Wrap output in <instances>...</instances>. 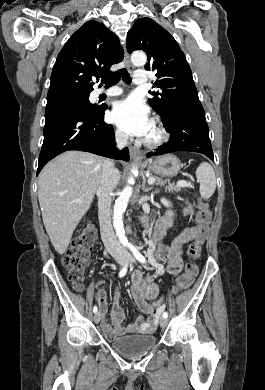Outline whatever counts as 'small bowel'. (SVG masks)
Here are the masks:
<instances>
[{
  "mask_svg": "<svg viewBox=\"0 0 265 390\" xmlns=\"http://www.w3.org/2000/svg\"><path fill=\"white\" fill-rule=\"evenodd\" d=\"M184 205L185 212L190 214L192 205L189 201H185ZM168 226V218H162L156 225L154 230L156 248L153 251V258L157 263H166V270L169 274L177 275L183 268V245L202 236L205 228L199 224L186 228L170 244H164L161 240L166 235ZM131 283L133 300L141 313L145 315H139L133 323L124 324L126 312L118 304L119 290L117 287L113 288L110 304H108L107 293L104 289H100L96 294V300L103 311L102 329L108 339L127 333H151L158 326L159 315L155 312L151 301L157 298L159 287L154 282L153 276H144L142 272L135 271L132 274ZM108 308L111 323L107 321Z\"/></svg>",
  "mask_w": 265,
  "mask_h": 390,
  "instance_id": "c3829d8e",
  "label": "small bowel"
}]
</instances>
